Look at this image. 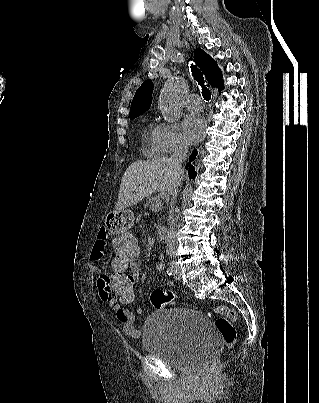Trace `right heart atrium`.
Instances as JSON below:
<instances>
[{
  "label": "right heart atrium",
  "mask_w": 319,
  "mask_h": 403,
  "mask_svg": "<svg viewBox=\"0 0 319 403\" xmlns=\"http://www.w3.org/2000/svg\"><path fill=\"white\" fill-rule=\"evenodd\" d=\"M157 141L161 153L174 154L186 147L185 140L176 124L161 123L157 126Z\"/></svg>",
  "instance_id": "obj_1"
}]
</instances>
